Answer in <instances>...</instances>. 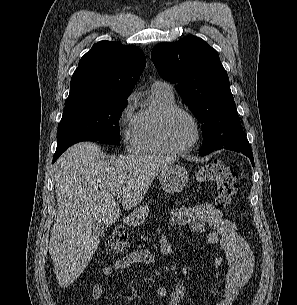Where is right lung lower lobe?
Masks as SVG:
<instances>
[{
  "label": "right lung lower lobe",
  "instance_id": "98d812e1",
  "mask_svg": "<svg viewBox=\"0 0 297 305\" xmlns=\"http://www.w3.org/2000/svg\"><path fill=\"white\" fill-rule=\"evenodd\" d=\"M65 150H58L56 149V152L54 154V157H53V163L59 158V156L64 152Z\"/></svg>",
  "mask_w": 297,
  "mask_h": 305
}]
</instances>
